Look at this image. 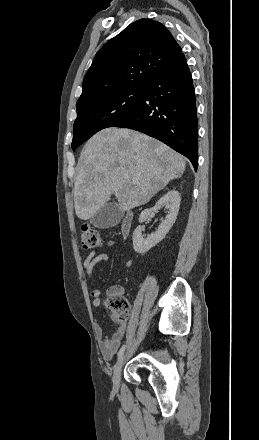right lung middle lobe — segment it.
<instances>
[{
    "label": "right lung middle lobe",
    "mask_w": 259,
    "mask_h": 440,
    "mask_svg": "<svg viewBox=\"0 0 259 440\" xmlns=\"http://www.w3.org/2000/svg\"><path fill=\"white\" fill-rule=\"evenodd\" d=\"M146 90H119L77 108L72 149L75 150L98 131L112 127L127 117L139 105Z\"/></svg>",
    "instance_id": "1"
}]
</instances>
